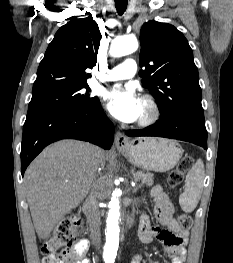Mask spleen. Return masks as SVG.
Returning <instances> with one entry per match:
<instances>
[{"mask_svg":"<svg viewBox=\"0 0 233 263\" xmlns=\"http://www.w3.org/2000/svg\"><path fill=\"white\" fill-rule=\"evenodd\" d=\"M204 175L203 161L198 159L189 170L184 192L179 197V203L184 212L190 213L196 208L201 197Z\"/></svg>","mask_w":233,"mask_h":263,"instance_id":"spleen-1","label":"spleen"}]
</instances>
